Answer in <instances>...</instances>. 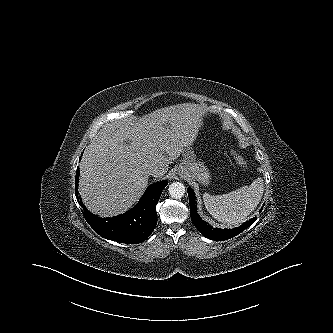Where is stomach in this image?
<instances>
[{"label":"stomach","instance_id":"0dacf381","mask_svg":"<svg viewBox=\"0 0 333 333\" xmlns=\"http://www.w3.org/2000/svg\"><path fill=\"white\" fill-rule=\"evenodd\" d=\"M178 174L184 177L196 179L203 185L210 182V173L204 162L196 159L194 151L183 154V159L178 167Z\"/></svg>","mask_w":333,"mask_h":333}]
</instances>
